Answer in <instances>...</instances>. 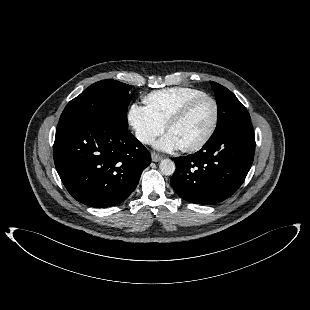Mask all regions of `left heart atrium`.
Instances as JSON below:
<instances>
[{"label":"left heart atrium","instance_id":"1","mask_svg":"<svg viewBox=\"0 0 310 310\" xmlns=\"http://www.w3.org/2000/svg\"><path fill=\"white\" fill-rule=\"evenodd\" d=\"M181 147L182 145L178 138L170 131L155 143V148L163 152H172Z\"/></svg>","mask_w":310,"mask_h":310}]
</instances>
